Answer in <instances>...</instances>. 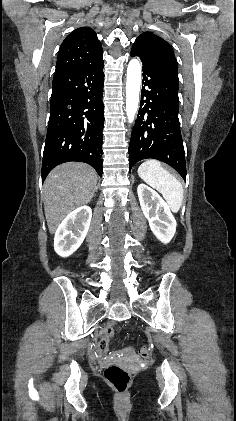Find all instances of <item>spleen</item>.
<instances>
[{"mask_svg":"<svg viewBox=\"0 0 236 421\" xmlns=\"http://www.w3.org/2000/svg\"><path fill=\"white\" fill-rule=\"evenodd\" d=\"M137 172L147 184L161 192L162 196L167 200L171 211L178 213L183 200V186L178 178H175L166 168H163L159 160H153V158L142 162Z\"/></svg>","mask_w":236,"mask_h":421,"instance_id":"3e777b00","label":"spleen"}]
</instances>
